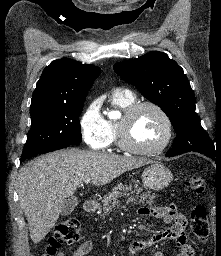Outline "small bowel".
Here are the masks:
<instances>
[{"label": "small bowel", "mask_w": 221, "mask_h": 256, "mask_svg": "<svg viewBox=\"0 0 221 256\" xmlns=\"http://www.w3.org/2000/svg\"><path fill=\"white\" fill-rule=\"evenodd\" d=\"M139 214L142 216H152L161 219L164 223L171 224V226L167 230L153 235L146 241L134 242L131 247L132 254H135L138 250L144 249L161 241L173 240L176 248L175 256H195V250L188 242L185 235L187 219L182 213L178 212L175 205L170 204L155 208H141L139 209ZM93 249V241H84L75 249L73 256H86L90 254ZM153 256L166 255L162 251H155Z\"/></svg>", "instance_id": "obj_1"}]
</instances>
